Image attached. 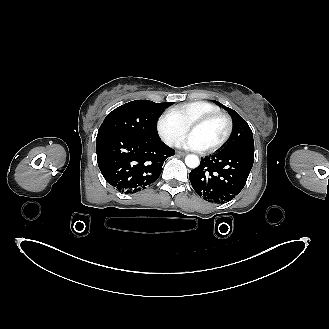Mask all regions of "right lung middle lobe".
I'll return each instance as SVG.
<instances>
[{
  "label": "right lung middle lobe",
  "instance_id": "right-lung-middle-lobe-1",
  "mask_svg": "<svg viewBox=\"0 0 329 329\" xmlns=\"http://www.w3.org/2000/svg\"><path fill=\"white\" fill-rule=\"evenodd\" d=\"M173 102L155 103L149 100H135L111 111L101 124L98 134L119 133L136 137L160 139L157 120L160 114Z\"/></svg>",
  "mask_w": 329,
  "mask_h": 329
}]
</instances>
